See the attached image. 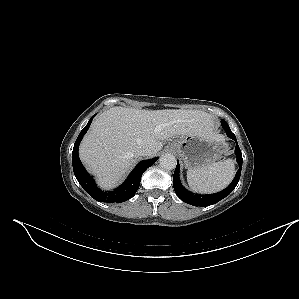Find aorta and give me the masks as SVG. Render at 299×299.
<instances>
[{"instance_id":"762f6f07","label":"aorta","mask_w":299,"mask_h":299,"mask_svg":"<svg viewBox=\"0 0 299 299\" xmlns=\"http://www.w3.org/2000/svg\"><path fill=\"white\" fill-rule=\"evenodd\" d=\"M159 164L166 170H172L176 167L177 160L173 154H164L159 159Z\"/></svg>"}]
</instances>
